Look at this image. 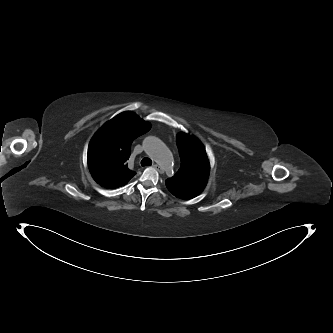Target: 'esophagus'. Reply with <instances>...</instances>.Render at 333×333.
I'll return each instance as SVG.
<instances>
[{
  "label": "esophagus",
  "instance_id": "1",
  "mask_svg": "<svg viewBox=\"0 0 333 333\" xmlns=\"http://www.w3.org/2000/svg\"><path fill=\"white\" fill-rule=\"evenodd\" d=\"M153 167L157 170V171H159V172H162V170H161V167L158 165V164H153Z\"/></svg>",
  "mask_w": 333,
  "mask_h": 333
}]
</instances>
